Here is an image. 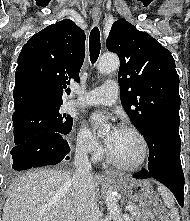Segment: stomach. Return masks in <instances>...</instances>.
Here are the masks:
<instances>
[{
	"instance_id": "stomach-1",
	"label": "stomach",
	"mask_w": 190,
	"mask_h": 221,
	"mask_svg": "<svg viewBox=\"0 0 190 221\" xmlns=\"http://www.w3.org/2000/svg\"><path fill=\"white\" fill-rule=\"evenodd\" d=\"M116 183L130 200L138 203L147 216L146 221H167L164 208L150 181L119 177Z\"/></svg>"
}]
</instances>
